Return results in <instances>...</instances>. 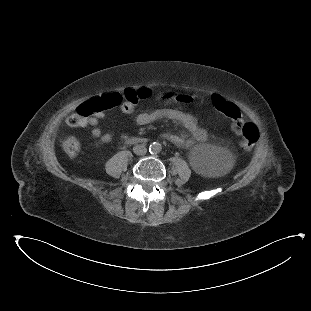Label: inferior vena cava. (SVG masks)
<instances>
[{
    "label": "inferior vena cava",
    "mask_w": 311,
    "mask_h": 311,
    "mask_svg": "<svg viewBox=\"0 0 311 311\" xmlns=\"http://www.w3.org/2000/svg\"><path fill=\"white\" fill-rule=\"evenodd\" d=\"M133 152L136 155H145L147 152V149L144 145H136L133 147Z\"/></svg>",
    "instance_id": "inferior-vena-cava-1"
}]
</instances>
